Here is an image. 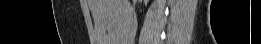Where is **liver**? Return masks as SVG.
I'll return each instance as SVG.
<instances>
[{"mask_svg":"<svg viewBox=\"0 0 261 44\" xmlns=\"http://www.w3.org/2000/svg\"><path fill=\"white\" fill-rule=\"evenodd\" d=\"M95 28L97 44H127L130 35L128 26L134 24L133 9L129 0H89Z\"/></svg>","mask_w":261,"mask_h":44,"instance_id":"6515ba94","label":"liver"}]
</instances>
